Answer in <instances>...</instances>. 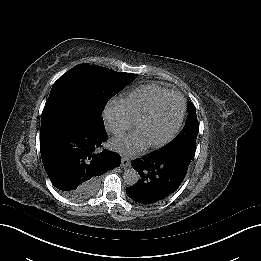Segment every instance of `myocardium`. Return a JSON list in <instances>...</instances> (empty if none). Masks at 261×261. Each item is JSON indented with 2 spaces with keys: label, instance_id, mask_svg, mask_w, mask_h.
Wrapping results in <instances>:
<instances>
[{
  "label": "myocardium",
  "instance_id": "obj_1",
  "mask_svg": "<svg viewBox=\"0 0 261 261\" xmlns=\"http://www.w3.org/2000/svg\"><path fill=\"white\" fill-rule=\"evenodd\" d=\"M174 103H178L180 105V114H179L178 120H177L176 124L174 125V127L165 136L161 137L160 139L150 140V141L144 140L137 136V128H138L139 123L142 121V119H144L147 116L156 115V114L164 111L165 109H167ZM185 111H186V103H185L184 98L181 96H174V97L170 98L169 100L151 108L150 110H148L147 112L142 114L139 118H137L131 127L130 135L135 136L137 138V140L142 145H145V146L162 145L165 142H167L170 138H172L175 135V133L179 130V128L181 127V124L183 122L184 116H185Z\"/></svg>",
  "mask_w": 261,
  "mask_h": 261
}]
</instances>
